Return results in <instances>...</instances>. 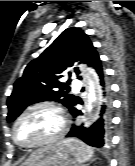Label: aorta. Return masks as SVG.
<instances>
[{
  "label": "aorta",
  "mask_w": 135,
  "mask_h": 166,
  "mask_svg": "<svg viewBox=\"0 0 135 166\" xmlns=\"http://www.w3.org/2000/svg\"><path fill=\"white\" fill-rule=\"evenodd\" d=\"M96 91H95V84L93 81L89 82V93H88V105L87 109L90 112L92 110V103L96 101Z\"/></svg>",
  "instance_id": "762f6f07"
}]
</instances>
